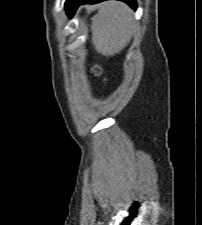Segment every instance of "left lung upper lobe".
Segmentation results:
<instances>
[{
    "label": "left lung upper lobe",
    "mask_w": 202,
    "mask_h": 225,
    "mask_svg": "<svg viewBox=\"0 0 202 225\" xmlns=\"http://www.w3.org/2000/svg\"><path fill=\"white\" fill-rule=\"evenodd\" d=\"M77 0H66L65 2V8L67 11L68 16H72L74 13V4L76 3Z\"/></svg>",
    "instance_id": "1"
}]
</instances>
